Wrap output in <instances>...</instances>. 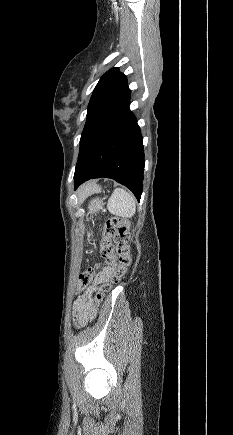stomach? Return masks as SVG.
<instances>
[{
    "instance_id": "1",
    "label": "stomach",
    "mask_w": 233,
    "mask_h": 435,
    "mask_svg": "<svg viewBox=\"0 0 233 435\" xmlns=\"http://www.w3.org/2000/svg\"><path fill=\"white\" fill-rule=\"evenodd\" d=\"M103 205H104L103 200L99 198L91 200L88 206L89 209L88 213L93 216L103 208Z\"/></svg>"
}]
</instances>
